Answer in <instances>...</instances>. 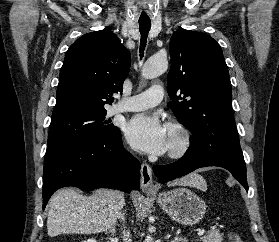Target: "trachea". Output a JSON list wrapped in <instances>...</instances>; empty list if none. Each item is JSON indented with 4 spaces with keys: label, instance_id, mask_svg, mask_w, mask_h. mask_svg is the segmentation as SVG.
<instances>
[{
    "label": "trachea",
    "instance_id": "obj_1",
    "mask_svg": "<svg viewBox=\"0 0 279 242\" xmlns=\"http://www.w3.org/2000/svg\"><path fill=\"white\" fill-rule=\"evenodd\" d=\"M150 28H151V22L150 21H148V20H140L139 21V30H140V34H141L140 57H143Z\"/></svg>",
    "mask_w": 279,
    "mask_h": 242
}]
</instances>
